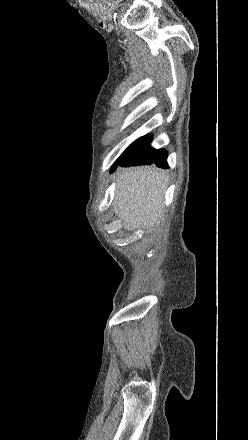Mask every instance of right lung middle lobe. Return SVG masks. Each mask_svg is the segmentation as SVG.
<instances>
[{
  "label": "right lung middle lobe",
  "instance_id": "right-lung-middle-lobe-1",
  "mask_svg": "<svg viewBox=\"0 0 248 440\" xmlns=\"http://www.w3.org/2000/svg\"><path fill=\"white\" fill-rule=\"evenodd\" d=\"M124 154V153H123ZM123 154L116 160V162L114 163V165H113V167H112V169H111V171L113 172L116 168H117V166L118 165H120L121 164V162L123 161Z\"/></svg>",
  "mask_w": 248,
  "mask_h": 440
}]
</instances>
